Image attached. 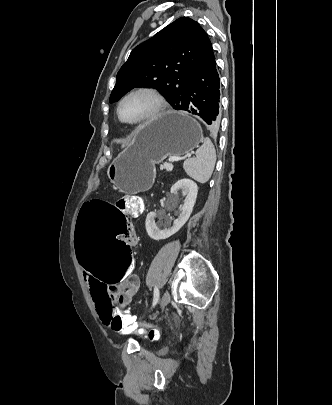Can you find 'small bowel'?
Instances as JSON below:
<instances>
[{
    "mask_svg": "<svg viewBox=\"0 0 332 405\" xmlns=\"http://www.w3.org/2000/svg\"><path fill=\"white\" fill-rule=\"evenodd\" d=\"M135 236L137 245L139 236L136 230ZM84 278L90 289L98 316L104 324L109 326H111V312L114 305H119L121 309L128 307L140 287V278L136 273H134L132 281L122 282L121 287H106L105 282L96 280V275H84ZM118 332L127 331L118 330Z\"/></svg>",
    "mask_w": 332,
    "mask_h": 405,
    "instance_id": "small-bowel-1",
    "label": "small bowel"
}]
</instances>
